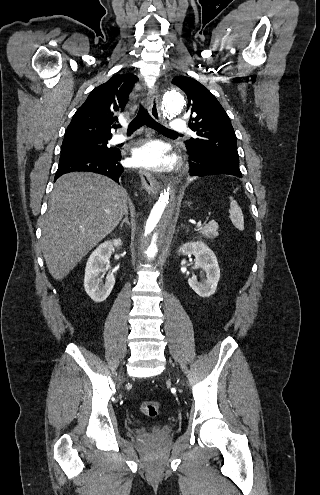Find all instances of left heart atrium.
Here are the masks:
<instances>
[{"mask_svg": "<svg viewBox=\"0 0 320 495\" xmlns=\"http://www.w3.org/2000/svg\"><path fill=\"white\" fill-rule=\"evenodd\" d=\"M132 163L147 169L159 170L170 164V158L165 156L161 144L150 142L133 150Z\"/></svg>", "mask_w": 320, "mask_h": 495, "instance_id": "obj_1", "label": "left heart atrium"}]
</instances>
